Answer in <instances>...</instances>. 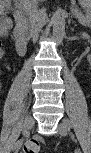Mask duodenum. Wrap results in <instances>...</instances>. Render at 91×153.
Wrapping results in <instances>:
<instances>
[{
  "mask_svg": "<svg viewBox=\"0 0 91 153\" xmlns=\"http://www.w3.org/2000/svg\"><path fill=\"white\" fill-rule=\"evenodd\" d=\"M24 12L25 9L23 7L21 6L18 7L15 16V26L12 32L16 51L21 56L25 55L28 50V42L24 35V28H25Z\"/></svg>",
  "mask_w": 91,
  "mask_h": 153,
  "instance_id": "obj_1",
  "label": "duodenum"
}]
</instances>
